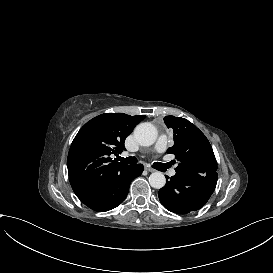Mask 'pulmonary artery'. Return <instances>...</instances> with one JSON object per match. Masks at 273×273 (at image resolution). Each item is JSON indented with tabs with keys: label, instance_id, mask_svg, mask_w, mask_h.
Segmentation results:
<instances>
[{
	"label": "pulmonary artery",
	"instance_id": "e3ab8cb5",
	"mask_svg": "<svg viewBox=\"0 0 273 273\" xmlns=\"http://www.w3.org/2000/svg\"><path fill=\"white\" fill-rule=\"evenodd\" d=\"M169 144V141L165 137H161L158 139L157 143L154 146V149L156 152L161 153L164 151L165 147H167Z\"/></svg>",
	"mask_w": 273,
	"mask_h": 273
}]
</instances>
